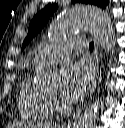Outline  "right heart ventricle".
<instances>
[{
    "mask_svg": "<svg viewBox=\"0 0 125 128\" xmlns=\"http://www.w3.org/2000/svg\"><path fill=\"white\" fill-rule=\"evenodd\" d=\"M33 67L36 68L37 65L33 64ZM18 108L20 114L29 120L44 122L52 118L53 103L45 93L33 84L31 70L26 73L21 83Z\"/></svg>",
    "mask_w": 125,
    "mask_h": 128,
    "instance_id": "obj_1",
    "label": "right heart ventricle"
}]
</instances>
